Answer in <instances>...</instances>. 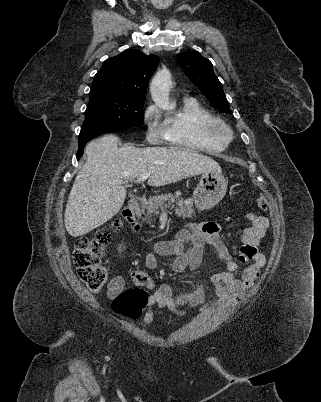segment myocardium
Here are the masks:
<instances>
[{
    "label": "myocardium",
    "mask_w": 321,
    "mask_h": 402,
    "mask_svg": "<svg viewBox=\"0 0 321 402\" xmlns=\"http://www.w3.org/2000/svg\"><path fill=\"white\" fill-rule=\"evenodd\" d=\"M203 128L207 135L224 144H227L233 138L231 127L221 118H210L203 124Z\"/></svg>",
    "instance_id": "obj_1"
}]
</instances>
